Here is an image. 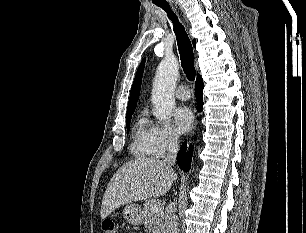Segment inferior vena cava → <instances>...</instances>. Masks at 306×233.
Segmentation results:
<instances>
[{
	"instance_id": "obj_1",
	"label": "inferior vena cava",
	"mask_w": 306,
	"mask_h": 233,
	"mask_svg": "<svg viewBox=\"0 0 306 233\" xmlns=\"http://www.w3.org/2000/svg\"><path fill=\"white\" fill-rule=\"evenodd\" d=\"M178 150V137L172 136L168 144V154L165 157L164 162L170 166L174 165L176 162ZM165 227V233H179L178 225L175 218V204L172 202L169 204L165 216Z\"/></svg>"
}]
</instances>
